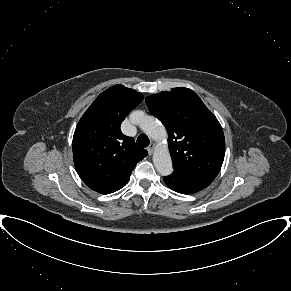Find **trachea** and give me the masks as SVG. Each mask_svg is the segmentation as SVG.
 Segmentation results:
<instances>
[{
	"instance_id": "1",
	"label": "trachea",
	"mask_w": 291,
	"mask_h": 291,
	"mask_svg": "<svg viewBox=\"0 0 291 291\" xmlns=\"http://www.w3.org/2000/svg\"><path fill=\"white\" fill-rule=\"evenodd\" d=\"M136 143L138 146L145 148L150 144V140L145 134H141L138 136Z\"/></svg>"
}]
</instances>
